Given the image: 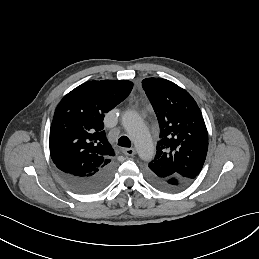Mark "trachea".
Here are the masks:
<instances>
[{"instance_id": "obj_1", "label": "trachea", "mask_w": 259, "mask_h": 259, "mask_svg": "<svg viewBox=\"0 0 259 259\" xmlns=\"http://www.w3.org/2000/svg\"><path fill=\"white\" fill-rule=\"evenodd\" d=\"M118 145L121 147H127L129 148L131 146V141L127 136H122L118 140Z\"/></svg>"}]
</instances>
